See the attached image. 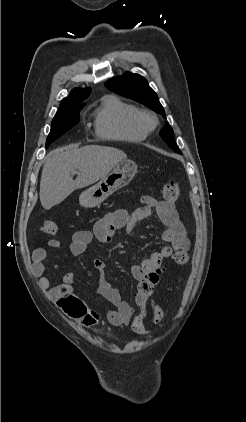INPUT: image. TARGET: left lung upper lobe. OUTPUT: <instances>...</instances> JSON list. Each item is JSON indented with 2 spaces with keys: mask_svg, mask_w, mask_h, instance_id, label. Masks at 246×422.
Instances as JSON below:
<instances>
[{
  "mask_svg": "<svg viewBox=\"0 0 246 422\" xmlns=\"http://www.w3.org/2000/svg\"><path fill=\"white\" fill-rule=\"evenodd\" d=\"M105 85L111 91L144 104L165 117V111L158 100L157 94L149 87L146 79L139 74L127 72L123 76L108 80ZM160 137L175 152L181 153L174 140V132L168 122H166L165 127L160 131Z\"/></svg>",
  "mask_w": 246,
  "mask_h": 422,
  "instance_id": "left-lung-upper-lobe-1",
  "label": "left lung upper lobe"
}]
</instances>
